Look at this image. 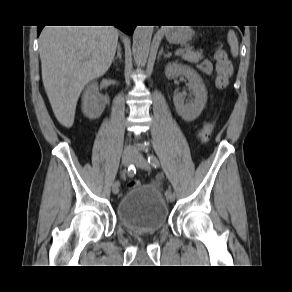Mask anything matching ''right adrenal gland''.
<instances>
[{
	"mask_svg": "<svg viewBox=\"0 0 292 292\" xmlns=\"http://www.w3.org/2000/svg\"><path fill=\"white\" fill-rule=\"evenodd\" d=\"M117 59H119L120 61H122V49H121L120 44H118V46H117V55L113 59V62H115Z\"/></svg>",
	"mask_w": 292,
	"mask_h": 292,
	"instance_id": "right-adrenal-gland-1",
	"label": "right adrenal gland"
}]
</instances>
